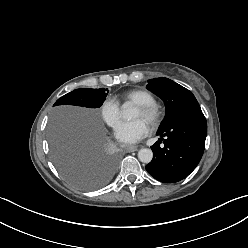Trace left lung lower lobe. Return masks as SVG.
<instances>
[{"mask_svg":"<svg viewBox=\"0 0 248 248\" xmlns=\"http://www.w3.org/2000/svg\"><path fill=\"white\" fill-rule=\"evenodd\" d=\"M157 135L161 138L151 146L153 159L146 165L147 172L165 183L186 178L200 162L205 147L207 122L199 104L185 108Z\"/></svg>","mask_w":248,"mask_h":248,"instance_id":"0a47b994","label":"left lung lower lobe"}]
</instances>
